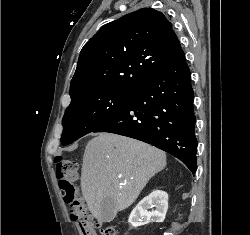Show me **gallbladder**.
I'll return each mask as SVG.
<instances>
[{"instance_id":"1","label":"gallbladder","mask_w":250,"mask_h":235,"mask_svg":"<svg viewBox=\"0 0 250 235\" xmlns=\"http://www.w3.org/2000/svg\"><path fill=\"white\" fill-rule=\"evenodd\" d=\"M100 213L101 222L112 221L117 214V205L115 200L111 197L105 198L101 203Z\"/></svg>"}]
</instances>
